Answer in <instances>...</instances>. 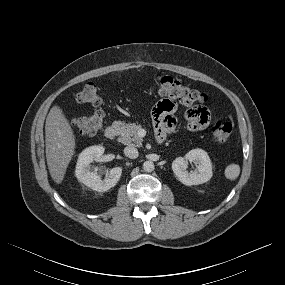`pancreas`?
<instances>
[{
	"mask_svg": "<svg viewBox=\"0 0 285 285\" xmlns=\"http://www.w3.org/2000/svg\"><path fill=\"white\" fill-rule=\"evenodd\" d=\"M119 128V141L124 145H131L136 147L142 146V139L137 136L140 125L135 123L125 124L121 121H116L113 124Z\"/></svg>",
	"mask_w": 285,
	"mask_h": 285,
	"instance_id": "obj_1",
	"label": "pancreas"
}]
</instances>
